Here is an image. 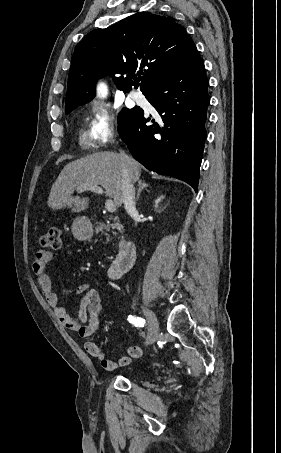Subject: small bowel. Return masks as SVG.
Wrapping results in <instances>:
<instances>
[{"instance_id": "small-bowel-1", "label": "small bowel", "mask_w": 281, "mask_h": 453, "mask_svg": "<svg viewBox=\"0 0 281 453\" xmlns=\"http://www.w3.org/2000/svg\"><path fill=\"white\" fill-rule=\"evenodd\" d=\"M51 260V252L44 248H38L34 252L32 271L38 288L61 323L71 331L76 332L80 337L88 338L100 328V315L103 310V303L99 292L89 283L79 284L73 289L71 296H81V298L79 299L77 315H72L65 306L60 304L58 296L52 290L51 280L47 274V267ZM84 349L92 358L98 360L107 371H114L129 364L131 357L140 356L143 352L141 347L131 346L128 348L127 355L111 359L103 347L92 341H85Z\"/></svg>"}]
</instances>
